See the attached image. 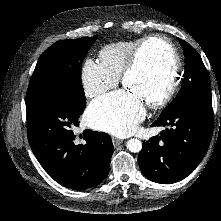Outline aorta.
Masks as SVG:
<instances>
[{
	"label": "aorta",
	"mask_w": 221,
	"mask_h": 221,
	"mask_svg": "<svg viewBox=\"0 0 221 221\" xmlns=\"http://www.w3.org/2000/svg\"><path fill=\"white\" fill-rule=\"evenodd\" d=\"M127 148L131 152H140L142 149V142L139 139L132 138L127 141Z\"/></svg>",
	"instance_id": "aorta-1"
}]
</instances>
